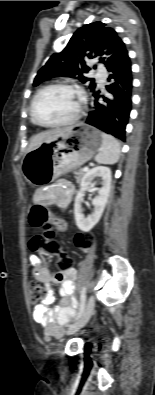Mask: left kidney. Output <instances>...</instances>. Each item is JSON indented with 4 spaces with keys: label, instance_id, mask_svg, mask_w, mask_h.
Wrapping results in <instances>:
<instances>
[{
    "label": "left kidney",
    "instance_id": "5707ae66",
    "mask_svg": "<svg viewBox=\"0 0 155 395\" xmlns=\"http://www.w3.org/2000/svg\"><path fill=\"white\" fill-rule=\"evenodd\" d=\"M96 177H101L102 187L95 189L98 195L92 200L94 211L87 217L83 215L81 203L83 201L84 192L93 185L92 181ZM111 170L106 166H97L87 171L81 180V189L78 192L74 203V215L77 227L84 231H90L100 220L104 208L106 206L111 188Z\"/></svg>",
    "mask_w": 155,
    "mask_h": 395
}]
</instances>
